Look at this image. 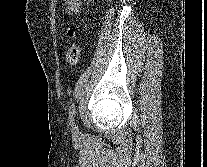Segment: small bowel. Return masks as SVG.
<instances>
[{
  "mask_svg": "<svg viewBox=\"0 0 207 167\" xmlns=\"http://www.w3.org/2000/svg\"><path fill=\"white\" fill-rule=\"evenodd\" d=\"M94 0H64L65 10L70 15H77L81 12L83 5L90 4Z\"/></svg>",
  "mask_w": 207,
  "mask_h": 167,
  "instance_id": "small-bowel-1",
  "label": "small bowel"
}]
</instances>
